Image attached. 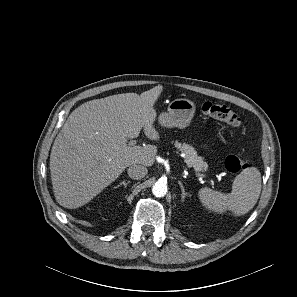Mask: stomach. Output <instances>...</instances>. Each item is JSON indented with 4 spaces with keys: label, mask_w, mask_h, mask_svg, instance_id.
<instances>
[{
    "label": "stomach",
    "mask_w": 297,
    "mask_h": 297,
    "mask_svg": "<svg viewBox=\"0 0 297 297\" xmlns=\"http://www.w3.org/2000/svg\"><path fill=\"white\" fill-rule=\"evenodd\" d=\"M196 106L189 99H175L168 105L167 112L159 115V124L166 128H185L187 127L195 112Z\"/></svg>",
    "instance_id": "0dacf381"
}]
</instances>
